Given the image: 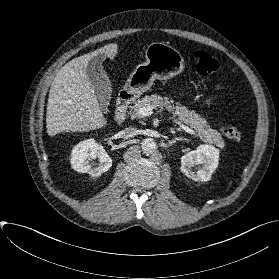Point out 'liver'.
<instances>
[{
    "mask_svg": "<svg viewBox=\"0 0 279 279\" xmlns=\"http://www.w3.org/2000/svg\"><path fill=\"white\" fill-rule=\"evenodd\" d=\"M117 53L116 43L107 44L69 61L61 68L49 91L46 112L49 136L63 132H88L107 125L86 67L96 55L113 59Z\"/></svg>",
    "mask_w": 279,
    "mask_h": 279,
    "instance_id": "liver-1",
    "label": "liver"
}]
</instances>
